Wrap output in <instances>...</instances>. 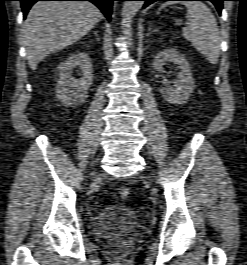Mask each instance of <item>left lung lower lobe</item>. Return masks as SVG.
Wrapping results in <instances>:
<instances>
[{
  "label": "left lung lower lobe",
  "instance_id": "1",
  "mask_svg": "<svg viewBox=\"0 0 247 265\" xmlns=\"http://www.w3.org/2000/svg\"><path fill=\"white\" fill-rule=\"evenodd\" d=\"M141 1H145V4L143 6V8L147 7L148 5L156 2V1H174V0H141ZM177 1H185V0H177ZM200 1H211L217 8L218 13L221 14V10H222V6H223V1L226 0H200Z\"/></svg>",
  "mask_w": 247,
  "mask_h": 265
}]
</instances>
